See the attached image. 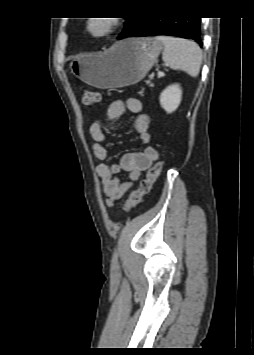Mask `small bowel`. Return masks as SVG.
<instances>
[{
    "label": "small bowel",
    "instance_id": "small-bowel-1",
    "mask_svg": "<svg viewBox=\"0 0 254 355\" xmlns=\"http://www.w3.org/2000/svg\"><path fill=\"white\" fill-rule=\"evenodd\" d=\"M142 102L136 98L127 100H114L110 103L106 122L109 129H113V122L119 119L126 111L136 116L134 130L139 140L143 143L150 142L149 116L142 112ZM90 136L93 140L92 150L95 157L101 162L96 171L101 179L102 190L107 207H112L116 200L121 199L139 180L142 173L152 166L158 159V151L154 147H146L143 151L129 152L121 156L119 163L108 164L109 152L106 147V135L103 125L99 121L91 124ZM120 171H126L129 179L121 181L117 175Z\"/></svg>",
    "mask_w": 254,
    "mask_h": 355
}]
</instances>
